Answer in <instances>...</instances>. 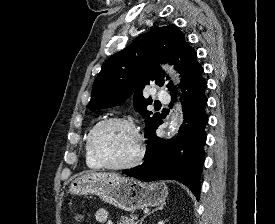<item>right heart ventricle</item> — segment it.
<instances>
[{"label": "right heart ventricle", "instance_id": "obj_1", "mask_svg": "<svg viewBox=\"0 0 275 224\" xmlns=\"http://www.w3.org/2000/svg\"><path fill=\"white\" fill-rule=\"evenodd\" d=\"M84 156H85V162L88 168L95 169V170L102 168V166L91 155L87 144V138L84 144Z\"/></svg>", "mask_w": 275, "mask_h": 224}]
</instances>
